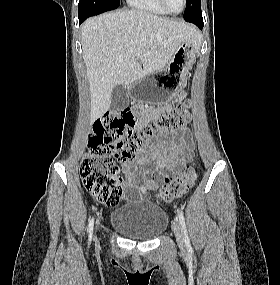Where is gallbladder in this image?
<instances>
[{"mask_svg":"<svg viewBox=\"0 0 280 285\" xmlns=\"http://www.w3.org/2000/svg\"><path fill=\"white\" fill-rule=\"evenodd\" d=\"M129 105V96L122 85L114 86L111 94L110 108L113 111H122Z\"/></svg>","mask_w":280,"mask_h":285,"instance_id":"obj_1","label":"gallbladder"}]
</instances>
